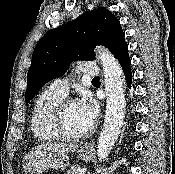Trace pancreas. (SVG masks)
Instances as JSON below:
<instances>
[{"label": "pancreas", "instance_id": "1", "mask_svg": "<svg viewBox=\"0 0 175 174\" xmlns=\"http://www.w3.org/2000/svg\"><path fill=\"white\" fill-rule=\"evenodd\" d=\"M80 169L81 168L78 165H74L69 171H67V174H79Z\"/></svg>", "mask_w": 175, "mask_h": 174}]
</instances>
